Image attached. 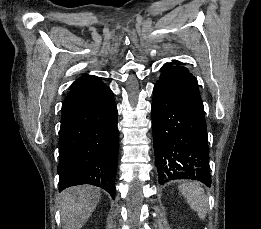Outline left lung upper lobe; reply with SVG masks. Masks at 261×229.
Here are the masks:
<instances>
[{
	"label": "left lung upper lobe",
	"instance_id": "left-lung-upper-lobe-1",
	"mask_svg": "<svg viewBox=\"0 0 261 229\" xmlns=\"http://www.w3.org/2000/svg\"><path fill=\"white\" fill-rule=\"evenodd\" d=\"M173 63H174V64H178V65H179V64H182L181 62H179V61H177V60H173Z\"/></svg>",
	"mask_w": 261,
	"mask_h": 229
}]
</instances>
